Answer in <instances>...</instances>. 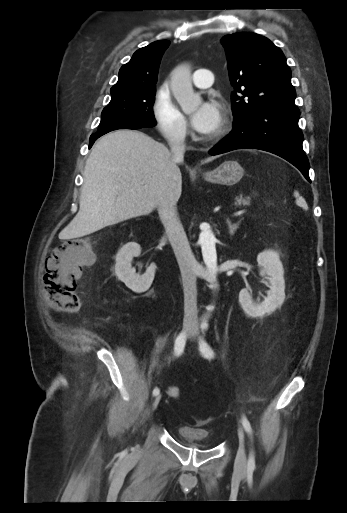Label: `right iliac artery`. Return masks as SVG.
<instances>
[{
  "label": "right iliac artery",
  "instance_id": "obj_1",
  "mask_svg": "<svg viewBox=\"0 0 347 513\" xmlns=\"http://www.w3.org/2000/svg\"><path fill=\"white\" fill-rule=\"evenodd\" d=\"M185 344H186V335L184 332H182L179 334V336L175 340L174 354L176 357H179L183 353ZM159 392H160L159 388L156 387L153 390V395L157 396L159 394Z\"/></svg>",
  "mask_w": 347,
  "mask_h": 513
}]
</instances>
